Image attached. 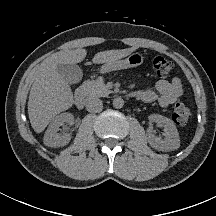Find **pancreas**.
I'll return each mask as SVG.
<instances>
[{"label":"pancreas","instance_id":"pancreas-1","mask_svg":"<svg viewBox=\"0 0 216 216\" xmlns=\"http://www.w3.org/2000/svg\"><path fill=\"white\" fill-rule=\"evenodd\" d=\"M85 86L89 96L92 97H105L112 92L104 83L102 77H99L96 80L87 81Z\"/></svg>","mask_w":216,"mask_h":216}]
</instances>
